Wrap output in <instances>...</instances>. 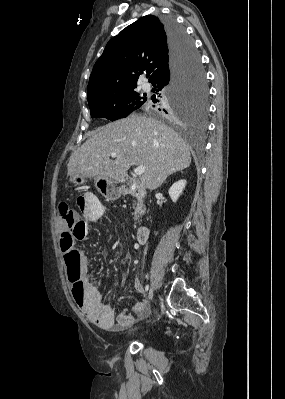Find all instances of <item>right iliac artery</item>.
<instances>
[{
  "instance_id": "1",
  "label": "right iliac artery",
  "mask_w": 285,
  "mask_h": 399,
  "mask_svg": "<svg viewBox=\"0 0 285 399\" xmlns=\"http://www.w3.org/2000/svg\"><path fill=\"white\" fill-rule=\"evenodd\" d=\"M149 290V284H147L146 286H145V291L147 292Z\"/></svg>"
}]
</instances>
